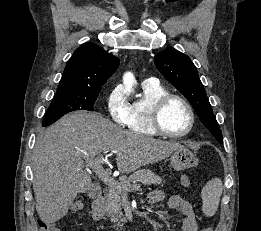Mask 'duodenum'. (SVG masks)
<instances>
[{
	"instance_id": "obj_1",
	"label": "duodenum",
	"mask_w": 261,
	"mask_h": 231,
	"mask_svg": "<svg viewBox=\"0 0 261 231\" xmlns=\"http://www.w3.org/2000/svg\"><path fill=\"white\" fill-rule=\"evenodd\" d=\"M92 213L96 218H99L103 215V196L102 195H98L94 199ZM119 230L122 231V229H119Z\"/></svg>"
}]
</instances>
